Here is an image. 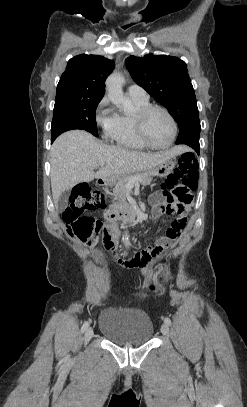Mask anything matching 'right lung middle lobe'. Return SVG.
<instances>
[{
    "mask_svg": "<svg viewBox=\"0 0 247 407\" xmlns=\"http://www.w3.org/2000/svg\"><path fill=\"white\" fill-rule=\"evenodd\" d=\"M101 99L61 98L55 99L51 140L61 133L82 129L98 137L95 111Z\"/></svg>",
    "mask_w": 247,
    "mask_h": 407,
    "instance_id": "right-lung-middle-lobe-1",
    "label": "right lung middle lobe"
}]
</instances>
